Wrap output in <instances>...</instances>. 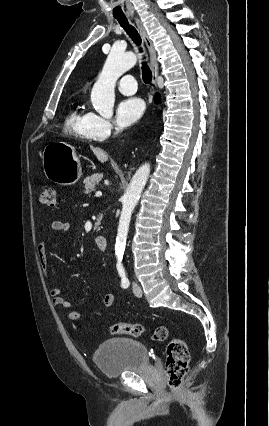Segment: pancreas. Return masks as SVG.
Masks as SVG:
<instances>
[{"label":"pancreas","instance_id":"pancreas-1","mask_svg":"<svg viewBox=\"0 0 269 426\" xmlns=\"http://www.w3.org/2000/svg\"><path fill=\"white\" fill-rule=\"evenodd\" d=\"M102 174H93L89 177H87L84 180V188H85V194H90L91 192L95 191V187L98 184V182L102 179ZM101 218L99 217L97 219V222L95 223V230L97 229V226L100 224Z\"/></svg>","mask_w":269,"mask_h":426}]
</instances>
